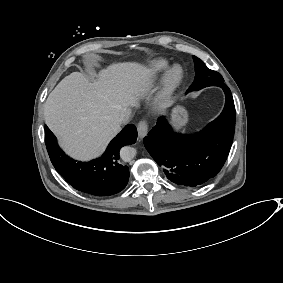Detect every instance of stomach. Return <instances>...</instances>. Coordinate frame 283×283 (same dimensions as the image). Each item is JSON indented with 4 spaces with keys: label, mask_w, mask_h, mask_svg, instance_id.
I'll use <instances>...</instances> for the list:
<instances>
[{
    "label": "stomach",
    "mask_w": 283,
    "mask_h": 283,
    "mask_svg": "<svg viewBox=\"0 0 283 283\" xmlns=\"http://www.w3.org/2000/svg\"><path fill=\"white\" fill-rule=\"evenodd\" d=\"M176 121L180 124L184 123L186 121V113L183 109L178 108L175 111V115H174Z\"/></svg>",
    "instance_id": "1"
}]
</instances>
